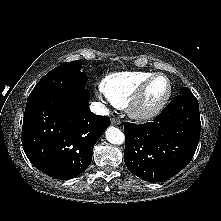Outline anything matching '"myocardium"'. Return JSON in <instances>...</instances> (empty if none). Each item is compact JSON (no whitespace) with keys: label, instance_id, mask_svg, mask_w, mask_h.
Wrapping results in <instances>:
<instances>
[{"label":"myocardium","instance_id":"myocardium-1","mask_svg":"<svg viewBox=\"0 0 221 221\" xmlns=\"http://www.w3.org/2000/svg\"><path fill=\"white\" fill-rule=\"evenodd\" d=\"M158 77H163L168 83V90L165 96L151 108L144 107V99L151 83ZM173 93V85L170 78L164 73H154L145 79L138 87L127 104L128 115L136 121H147L158 116L168 104Z\"/></svg>","mask_w":221,"mask_h":221}]
</instances>
